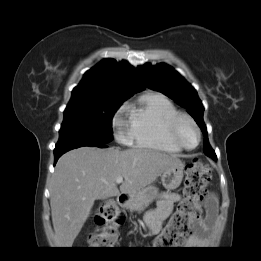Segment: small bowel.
<instances>
[{
    "label": "small bowel",
    "mask_w": 261,
    "mask_h": 261,
    "mask_svg": "<svg viewBox=\"0 0 261 261\" xmlns=\"http://www.w3.org/2000/svg\"><path fill=\"white\" fill-rule=\"evenodd\" d=\"M181 199L177 193L164 192L161 194L157 207L147 216V224L152 233H158L174 210V205ZM206 216L193 222L194 233L187 240V247H195L206 240V236L216 217V200L209 195L205 202Z\"/></svg>",
    "instance_id": "obj_1"
}]
</instances>
